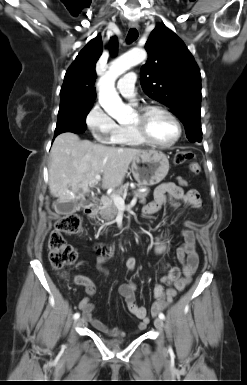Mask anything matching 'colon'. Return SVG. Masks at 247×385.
<instances>
[{
    "mask_svg": "<svg viewBox=\"0 0 247 385\" xmlns=\"http://www.w3.org/2000/svg\"><path fill=\"white\" fill-rule=\"evenodd\" d=\"M194 154L189 151L179 152L175 156L176 164L189 163L192 173L199 175L201 167L194 160ZM81 230V218L78 214H68L59 217L52 231L49 234V260L54 269L60 272L62 277L66 276V270L72 266L76 259L77 253L75 249L66 242L65 235L76 234ZM80 284V282H77Z\"/></svg>",
    "mask_w": 247,
    "mask_h": 385,
    "instance_id": "colon-1",
    "label": "colon"
}]
</instances>
